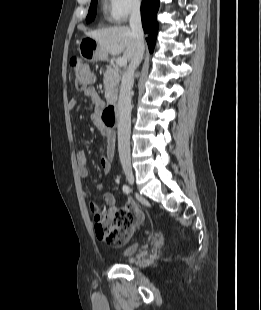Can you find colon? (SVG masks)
<instances>
[{"label":"colon","mask_w":261,"mask_h":310,"mask_svg":"<svg viewBox=\"0 0 261 310\" xmlns=\"http://www.w3.org/2000/svg\"><path fill=\"white\" fill-rule=\"evenodd\" d=\"M70 68L76 89L83 90L94 83L96 79L95 72L84 59L79 57L73 58L70 62ZM123 208L113 215L100 212L95 213V232L97 237L113 247L124 245L130 238L134 227H140L142 225L141 221L144 219L143 210L139 208L136 200H127ZM92 209H96L94 205H92Z\"/></svg>","instance_id":"obj_1"}]
</instances>
